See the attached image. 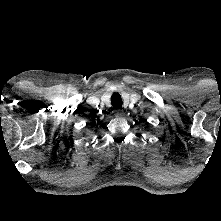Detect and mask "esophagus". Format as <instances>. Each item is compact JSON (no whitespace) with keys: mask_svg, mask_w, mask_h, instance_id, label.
<instances>
[{"mask_svg":"<svg viewBox=\"0 0 221 221\" xmlns=\"http://www.w3.org/2000/svg\"><path fill=\"white\" fill-rule=\"evenodd\" d=\"M114 114H115L116 117H122L124 112L121 109H115Z\"/></svg>","mask_w":221,"mask_h":221,"instance_id":"esophagus-1","label":"esophagus"}]
</instances>
